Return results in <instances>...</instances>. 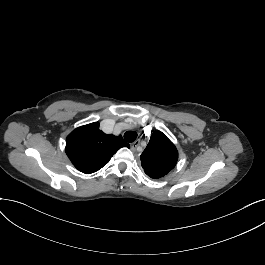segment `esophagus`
<instances>
[{
    "label": "esophagus",
    "instance_id": "34e87169",
    "mask_svg": "<svg viewBox=\"0 0 265 265\" xmlns=\"http://www.w3.org/2000/svg\"><path fill=\"white\" fill-rule=\"evenodd\" d=\"M139 144H140V140L139 139H137L136 141H134L133 143H131V145H130L131 150L133 152H135L136 149H137V147L139 146Z\"/></svg>",
    "mask_w": 265,
    "mask_h": 265
}]
</instances>
